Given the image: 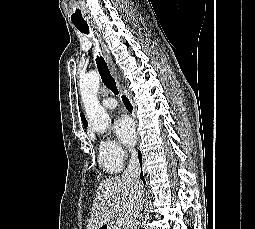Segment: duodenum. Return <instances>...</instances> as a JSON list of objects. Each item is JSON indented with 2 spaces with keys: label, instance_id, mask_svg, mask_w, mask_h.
Listing matches in <instances>:
<instances>
[{
  "label": "duodenum",
  "instance_id": "1",
  "mask_svg": "<svg viewBox=\"0 0 255 229\" xmlns=\"http://www.w3.org/2000/svg\"><path fill=\"white\" fill-rule=\"evenodd\" d=\"M100 229H111L108 224H103Z\"/></svg>",
  "mask_w": 255,
  "mask_h": 229
}]
</instances>
